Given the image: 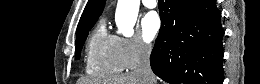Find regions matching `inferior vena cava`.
Masks as SVG:
<instances>
[{
    "label": "inferior vena cava",
    "mask_w": 260,
    "mask_h": 84,
    "mask_svg": "<svg viewBox=\"0 0 260 84\" xmlns=\"http://www.w3.org/2000/svg\"><path fill=\"white\" fill-rule=\"evenodd\" d=\"M150 53L149 48L141 47L138 65L134 73L142 78L144 84H157L156 77L150 66Z\"/></svg>",
    "instance_id": "obj_1"
}]
</instances>
